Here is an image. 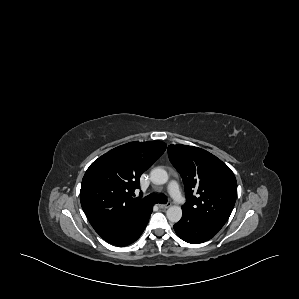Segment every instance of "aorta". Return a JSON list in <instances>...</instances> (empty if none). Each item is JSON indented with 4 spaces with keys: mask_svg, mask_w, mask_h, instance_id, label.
<instances>
[{
    "mask_svg": "<svg viewBox=\"0 0 299 299\" xmlns=\"http://www.w3.org/2000/svg\"><path fill=\"white\" fill-rule=\"evenodd\" d=\"M150 179L154 184L162 185L168 181V173L161 167H155L150 172ZM169 221L177 223L182 217V209L178 205L170 206L166 211Z\"/></svg>",
    "mask_w": 299,
    "mask_h": 299,
    "instance_id": "aorta-1",
    "label": "aorta"
}]
</instances>
